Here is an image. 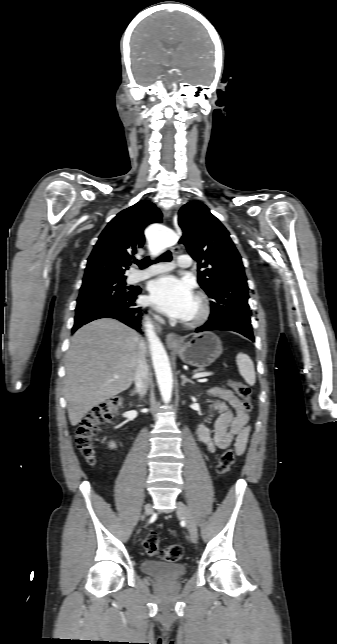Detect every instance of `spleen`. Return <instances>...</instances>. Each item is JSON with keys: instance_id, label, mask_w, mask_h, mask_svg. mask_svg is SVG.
<instances>
[{"instance_id": "3e777b00", "label": "spleen", "mask_w": 337, "mask_h": 644, "mask_svg": "<svg viewBox=\"0 0 337 644\" xmlns=\"http://www.w3.org/2000/svg\"><path fill=\"white\" fill-rule=\"evenodd\" d=\"M239 373L244 378L245 382L253 386L256 382L254 364L250 357L244 353H238L236 356Z\"/></svg>"}]
</instances>
